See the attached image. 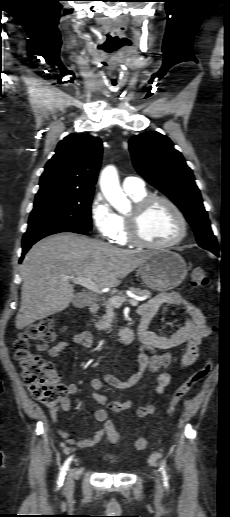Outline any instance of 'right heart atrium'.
Returning a JSON list of instances; mask_svg holds the SVG:
<instances>
[{"label": "right heart atrium", "mask_w": 230, "mask_h": 517, "mask_svg": "<svg viewBox=\"0 0 230 517\" xmlns=\"http://www.w3.org/2000/svg\"><path fill=\"white\" fill-rule=\"evenodd\" d=\"M90 214L98 234L105 240H115L120 229L119 215L101 194L91 202Z\"/></svg>", "instance_id": "obj_1"}]
</instances>
